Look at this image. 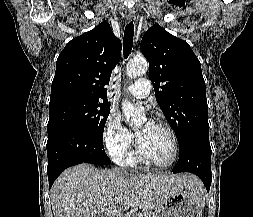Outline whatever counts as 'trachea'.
<instances>
[{"label": "trachea", "mask_w": 253, "mask_h": 217, "mask_svg": "<svg viewBox=\"0 0 253 217\" xmlns=\"http://www.w3.org/2000/svg\"><path fill=\"white\" fill-rule=\"evenodd\" d=\"M133 36H134V25L133 22H129L125 27L124 41H123V55L127 58L131 53L133 46Z\"/></svg>", "instance_id": "obj_1"}]
</instances>
